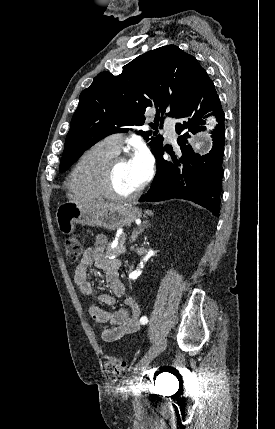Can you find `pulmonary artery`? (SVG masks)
<instances>
[{
    "label": "pulmonary artery",
    "mask_w": 275,
    "mask_h": 429,
    "mask_svg": "<svg viewBox=\"0 0 275 429\" xmlns=\"http://www.w3.org/2000/svg\"><path fill=\"white\" fill-rule=\"evenodd\" d=\"M164 128L168 137L173 141L176 135L174 122L172 120H166ZM102 142L106 147L117 153L122 145V136L120 134H113L106 137Z\"/></svg>",
    "instance_id": "pulmonary-artery-1"
}]
</instances>
